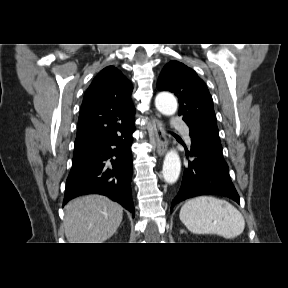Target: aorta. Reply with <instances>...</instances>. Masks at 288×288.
I'll return each mask as SVG.
<instances>
[{
	"label": "aorta",
	"instance_id": "762f6f07",
	"mask_svg": "<svg viewBox=\"0 0 288 288\" xmlns=\"http://www.w3.org/2000/svg\"><path fill=\"white\" fill-rule=\"evenodd\" d=\"M155 106L162 114L170 116L177 110L176 98L170 93H160L156 96ZM181 161L175 150L167 152L163 163V177L169 184H174L180 175Z\"/></svg>",
	"mask_w": 288,
	"mask_h": 288
}]
</instances>
